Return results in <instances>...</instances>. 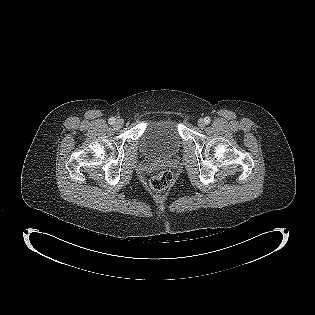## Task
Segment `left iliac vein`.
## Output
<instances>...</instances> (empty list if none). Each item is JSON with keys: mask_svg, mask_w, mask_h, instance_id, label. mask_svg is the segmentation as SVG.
<instances>
[{"mask_svg": "<svg viewBox=\"0 0 315 315\" xmlns=\"http://www.w3.org/2000/svg\"><path fill=\"white\" fill-rule=\"evenodd\" d=\"M198 126H199L200 128H204V127H205L204 119H199V120H198Z\"/></svg>", "mask_w": 315, "mask_h": 315, "instance_id": "4c4485c4", "label": "left iliac vein"}]
</instances>
